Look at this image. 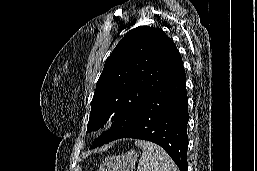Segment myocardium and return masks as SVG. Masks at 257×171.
Returning a JSON list of instances; mask_svg holds the SVG:
<instances>
[{"label":"myocardium","mask_w":257,"mask_h":171,"mask_svg":"<svg viewBox=\"0 0 257 171\" xmlns=\"http://www.w3.org/2000/svg\"><path fill=\"white\" fill-rule=\"evenodd\" d=\"M114 125V120L113 119H107L103 122L102 128L103 129H108Z\"/></svg>","instance_id":"1"}]
</instances>
